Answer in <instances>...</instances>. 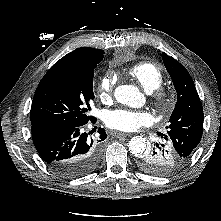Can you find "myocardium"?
<instances>
[{
  "label": "myocardium",
  "mask_w": 221,
  "mask_h": 221,
  "mask_svg": "<svg viewBox=\"0 0 221 221\" xmlns=\"http://www.w3.org/2000/svg\"><path fill=\"white\" fill-rule=\"evenodd\" d=\"M153 100L156 108L165 113L170 110L173 105V94L165 88H158L154 91Z\"/></svg>",
  "instance_id": "obj_1"
}]
</instances>
